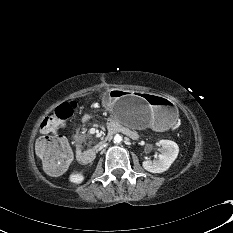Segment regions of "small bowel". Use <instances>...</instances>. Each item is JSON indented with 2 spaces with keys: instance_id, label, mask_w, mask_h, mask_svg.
Returning <instances> with one entry per match:
<instances>
[{
  "instance_id": "1",
  "label": "small bowel",
  "mask_w": 233,
  "mask_h": 233,
  "mask_svg": "<svg viewBox=\"0 0 233 233\" xmlns=\"http://www.w3.org/2000/svg\"><path fill=\"white\" fill-rule=\"evenodd\" d=\"M91 119H92V115L90 113H84L81 117V120L85 123L89 122ZM111 123H114V122H111Z\"/></svg>"
}]
</instances>
